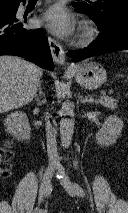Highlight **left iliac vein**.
Instances as JSON below:
<instances>
[{"mask_svg": "<svg viewBox=\"0 0 128 213\" xmlns=\"http://www.w3.org/2000/svg\"><path fill=\"white\" fill-rule=\"evenodd\" d=\"M62 186L65 188V190L71 195V196H76L77 192L75 189L74 184L71 182V180L67 177H63L60 180Z\"/></svg>", "mask_w": 128, "mask_h": 213, "instance_id": "4c4485c4", "label": "left iliac vein"}]
</instances>
